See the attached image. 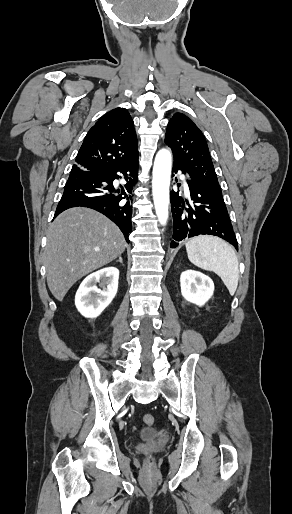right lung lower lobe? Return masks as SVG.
Here are the masks:
<instances>
[{
  "mask_svg": "<svg viewBox=\"0 0 292 514\" xmlns=\"http://www.w3.org/2000/svg\"><path fill=\"white\" fill-rule=\"evenodd\" d=\"M138 158L105 171H74L70 173L54 218L72 207H88L111 219L129 243L131 231L132 190L137 183ZM124 178L126 184L117 187L113 181Z\"/></svg>",
  "mask_w": 292,
  "mask_h": 514,
  "instance_id": "obj_1",
  "label": "right lung lower lobe"
}]
</instances>
